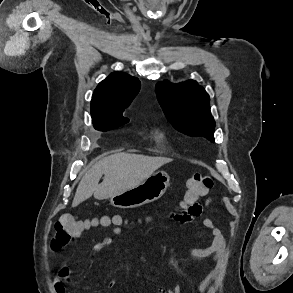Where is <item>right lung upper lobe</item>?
I'll list each match as a JSON object with an SVG mask.
<instances>
[{"label":"right lung upper lobe","instance_id":"right-lung-upper-lobe-1","mask_svg":"<svg viewBox=\"0 0 293 293\" xmlns=\"http://www.w3.org/2000/svg\"><path fill=\"white\" fill-rule=\"evenodd\" d=\"M140 81L122 72L111 73L99 83L91 100L92 119L122 114L140 89Z\"/></svg>","mask_w":293,"mask_h":293}]
</instances>
